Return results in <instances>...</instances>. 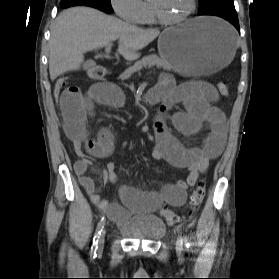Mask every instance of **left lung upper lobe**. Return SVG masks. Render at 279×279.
I'll return each mask as SVG.
<instances>
[{"instance_id":"5c2ea615","label":"left lung upper lobe","mask_w":279,"mask_h":279,"mask_svg":"<svg viewBox=\"0 0 279 279\" xmlns=\"http://www.w3.org/2000/svg\"><path fill=\"white\" fill-rule=\"evenodd\" d=\"M222 3H233V0H199L200 10L199 12L205 11L206 9Z\"/></svg>"}]
</instances>
